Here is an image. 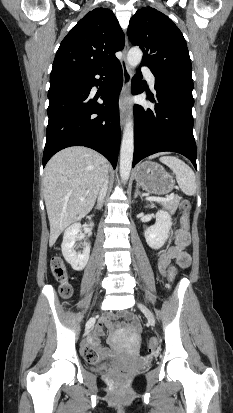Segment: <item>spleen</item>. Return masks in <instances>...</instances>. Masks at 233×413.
Segmentation results:
<instances>
[{
    "instance_id": "obj_1",
    "label": "spleen",
    "mask_w": 233,
    "mask_h": 413,
    "mask_svg": "<svg viewBox=\"0 0 233 413\" xmlns=\"http://www.w3.org/2000/svg\"><path fill=\"white\" fill-rule=\"evenodd\" d=\"M160 161L173 171L180 189L186 195L191 196L195 194V174L185 162L174 156H163L160 158Z\"/></svg>"
}]
</instances>
